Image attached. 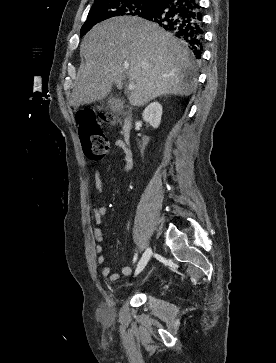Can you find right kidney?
<instances>
[{
    "label": "right kidney",
    "mask_w": 276,
    "mask_h": 363,
    "mask_svg": "<svg viewBox=\"0 0 276 363\" xmlns=\"http://www.w3.org/2000/svg\"><path fill=\"white\" fill-rule=\"evenodd\" d=\"M143 120L153 128H158L162 117V106L158 102L150 103L142 113Z\"/></svg>",
    "instance_id": "1"
}]
</instances>
